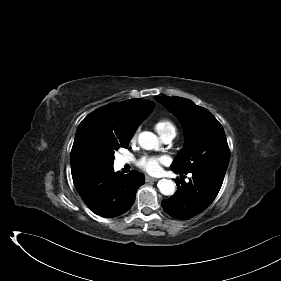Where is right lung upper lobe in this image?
Here are the masks:
<instances>
[{
	"instance_id": "1",
	"label": "right lung upper lobe",
	"mask_w": 281,
	"mask_h": 281,
	"mask_svg": "<svg viewBox=\"0 0 281 281\" xmlns=\"http://www.w3.org/2000/svg\"><path fill=\"white\" fill-rule=\"evenodd\" d=\"M154 104L144 99H130L100 107L80 123L71 150L74 184L109 168L115 144L131 140Z\"/></svg>"
}]
</instances>
